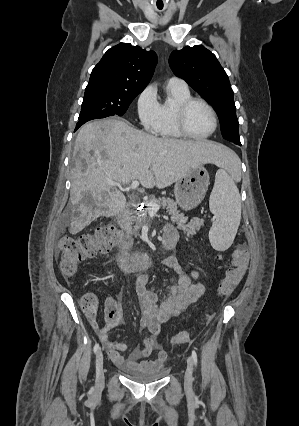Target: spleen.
<instances>
[{
    "instance_id": "obj_1",
    "label": "spleen",
    "mask_w": 299,
    "mask_h": 426,
    "mask_svg": "<svg viewBox=\"0 0 299 426\" xmlns=\"http://www.w3.org/2000/svg\"><path fill=\"white\" fill-rule=\"evenodd\" d=\"M209 206L216 220L209 231L212 247L227 250L233 243L241 220L239 190L226 169H220L210 194Z\"/></svg>"
}]
</instances>
